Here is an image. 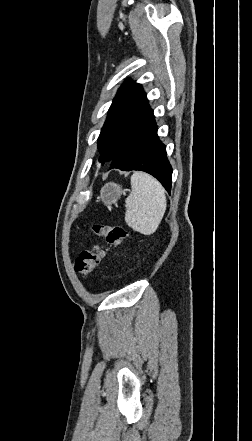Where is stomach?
<instances>
[{
    "label": "stomach",
    "mask_w": 252,
    "mask_h": 441,
    "mask_svg": "<svg viewBox=\"0 0 252 441\" xmlns=\"http://www.w3.org/2000/svg\"><path fill=\"white\" fill-rule=\"evenodd\" d=\"M123 192L120 185L110 182L101 189L99 200L105 204H112L117 202Z\"/></svg>",
    "instance_id": "0dacf381"
}]
</instances>
